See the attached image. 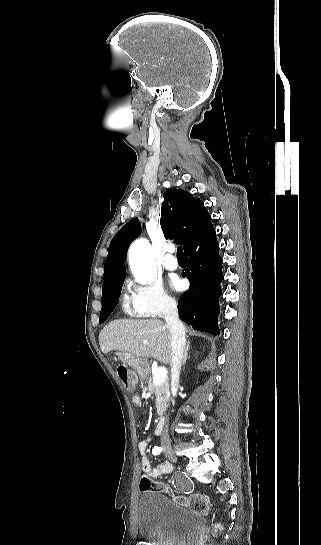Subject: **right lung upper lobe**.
I'll return each mask as SVG.
<instances>
[{"label": "right lung upper lobe", "instance_id": "obj_1", "mask_svg": "<svg viewBox=\"0 0 321 545\" xmlns=\"http://www.w3.org/2000/svg\"><path fill=\"white\" fill-rule=\"evenodd\" d=\"M160 224L166 238L175 239L185 249L209 226L211 216L204 203L184 190L169 189L164 193ZM141 233L140 221L135 218L126 223L113 237L105 261L103 290L124 281L123 263L129 244Z\"/></svg>", "mask_w": 321, "mask_h": 545}]
</instances>
